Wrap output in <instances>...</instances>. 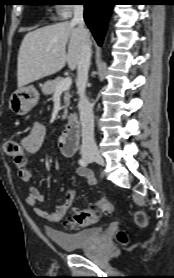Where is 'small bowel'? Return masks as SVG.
Masks as SVG:
<instances>
[{
	"label": "small bowel",
	"instance_id": "small-bowel-1",
	"mask_svg": "<svg viewBox=\"0 0 174 278\" xmlns=\"http://www.w3.org/2000/svg\"><path fill=\"white\" fill-rule=\"evenodd\" d=\"M44 137V126L39 123H35L32 126L29 134L21 141L23 155L14 158V165L17 168L18 176L22 182L29 183L33 178L32 171L29 168L28 157L35 154L40 149ZM76 172L77 175L83 178L88 185H94L96 183V177L90 169L78 167ZM75 195V191L73 189H69L65 194V199L62 204L57 205L51 211L43 210L38 208L37 204L44 200V194L37 187L31 186L26 197V203L33 208L34 212L40 218L49 223L57 224L64 219L67 211L74 202Z\"/></svg>",
	"mask_w": 174,
	"mask_h": 278
}]
</instances>
